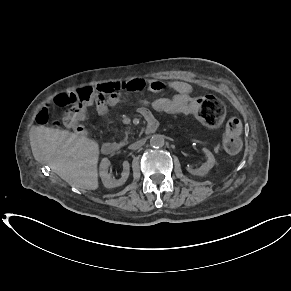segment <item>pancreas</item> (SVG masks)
<instances>
[{
  "label": "pancreas",
  "mask_w": 291,
  "mask_h": 291,
  "mask_svg": "<svg viewBox=\"0 0 291 291\" xmlns=\"http://www.w3.org/2000/svg\"><path fill=\"white\" fill-rule=\"evenodd\" d=\"M127 134V133H126ZM127 141V137L125 138V142Z\"/></svg>",
  "instance_id": "pancreas-1"
}]
</instances>
